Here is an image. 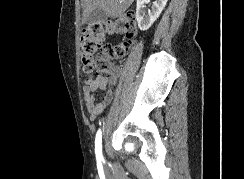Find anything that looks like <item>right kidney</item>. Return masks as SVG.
<instances>
[{"label":"right kidney","mask_w":244,"mask_h":179,"mask_svg":"<svg viewBox=\"0 0 244 179\" xmlns=\"http://www.w3.org/2000/svg\"><path fill=\"white\" fill-rule=\"evenodd\" d=\"M149 2L150 0H137L136 2V20L138 28H140L142 32L151 28L155 20L159 18L162 10H164L168 0H156V2H153L152 10H148V14H146L145 4H149Z\"/></svg>","instance_id":"right-kidney-1"}]
</instances>
